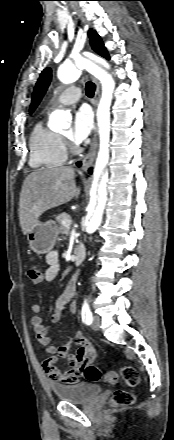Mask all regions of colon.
Wrapping results in <instances>:
<instances>
[{"mask_svg": "<svg viewBox=\"0 0 174 440\" xmlns=\"http://www.w3.org/2000/svg\"><path fill=\"white\" fill-rule=\"evenodd\" d=\"M29 279L34 283H40L43 280V271L38 265H30L27 268ZM47 366L44 364V368ZM121 375L125 383L130 387H135L139 384V374L137 370L131 366H124L121 369ZM82 376L90 382H97L100 380L114 384L117 382V374L114 372H101L97 367L91 363H87L83 369ZM135 401L133 392L125 389H118L114 392L111 402L114 407L130 406Z\"/></svg>", "mask_w": 174, "mask_h": 440, "instance_id": "1", "label": "colon"}]
</instances>
